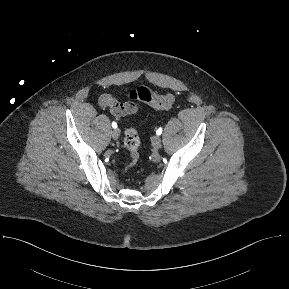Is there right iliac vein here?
Masks as SVG:
<instances>
[{"label":"right iliac vein","mask_w":289,"mask_h":289,"mask_svg":"<svg viewBox=\"0 0 289 289\" xmlns=\"http://www.w3.org/2000/svg\"><path fill=\"white\" fill-rule=\"evenodd\" d=\"M111 136L113 139L117 140L120 136V130L115 128L112 132H111Z\"/></svg>","instance_id":"1"}]
</instances>
